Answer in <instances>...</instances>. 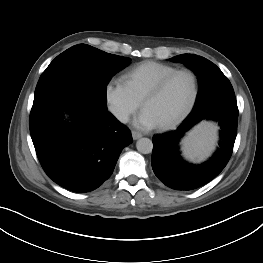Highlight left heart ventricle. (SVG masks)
<instances>
[{"instance_id":"b2bd125f","label":"left heart ventricle","mask_w":263,"mask_h":263,"mask_svg":"<svg viewBox=\"0 0 263 263\" xmlns=\"http://www.w3.org/2000/svg\"><path fill=\"white\" fill-rule=\"evenodd\" d=\"M192 93V79L186 74H181L174 77L159 96L148 101L144 109L152 114L158 125H162L174 120L184 111Z\"/></svg>"}]
</instances>
